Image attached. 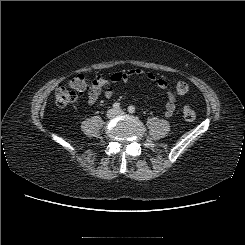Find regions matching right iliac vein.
<instances>
[{"instance_id": "right-iliac-vein-1", "label": "right iliac vein", "mask_w": 245, "mask_h": 245, "mask_svg": "<svg viewBox=\"0 0 245 245\" xmlns=\"http://www.w3.org/2000/svg\"><path fill=\"white\" fill-rule=\"evenodd\" d=\"M116 115V111L114 109H109L107 112L108 118H113Z\"/></svg>"}]
</instances>
